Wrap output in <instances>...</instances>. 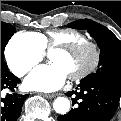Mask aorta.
<instances>
[{
	"label": "aorta",
	"mask_w": 121,
	"mask_h": 121,
	"mask_svg": "<svg viewBox=\"0 0 121 121\" xmlns=\"http://www.w3.org/2000/svg\"><path fill=\"white\" fill-rule=\"evenodd\" d=\"M54 110L59 114H66L70 110V101L66 97H58L53 103Z\"/></svg>",
	"instance_id": "obj_1"
}]
</instances>
